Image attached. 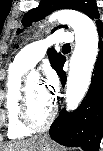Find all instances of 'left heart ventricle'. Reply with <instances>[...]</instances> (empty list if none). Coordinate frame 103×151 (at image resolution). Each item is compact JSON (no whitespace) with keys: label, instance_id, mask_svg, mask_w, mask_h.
Instances as JSON below:
<instances>
[{"label":"left heart ventricle","instance_id":"b2bd125f","mask_svg":"<svg viewBox=\"0 0 103 151\" xmlns=\"http://www.w3.org/2000/svg\"><path fill=\"white\" fill-rule=\"evenodd\" d=\"M27 91L31 119L37 124H42L47 120L53 102L46 98L36 81L27 83Z\"/></svg>","mask_w":103,"mask_h":151}]
</instances>
